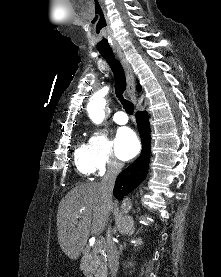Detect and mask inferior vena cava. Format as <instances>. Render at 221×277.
Segmentation results:
<instances>
[{
  "mask_svg": "<svg viewBox=\"0 0 221 277\" xmlns=\"http://www.w3.org/2000/svg\"><path fill=\"white\" fill-rule=\"evenodd\" d=\"M122 169V164L114 160L110 161L107 166V172L101 180V189L106 200L111 201L112 191L115 180ZM107 260L110 269L111 277H116L118 271L119 257L115 242L112 238V229H108L107 246H106Z\"/></svg>",
  "mask_w": 221,
  "mask_h": 277,
  "instance_id": "inferior-vena-cava-1",
  "label": "inferior vena cava"
}]
</instances>
